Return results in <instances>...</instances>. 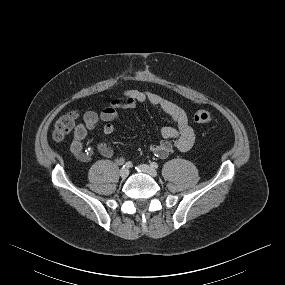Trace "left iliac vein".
I'll list each match as a JSON object with an SVG mask.
<instances>
[{"mask_svg":"<svg viewBox=\"0 0 285 285\" xmlns=\"http://www.w3.org/2000/svg\"><path fill=\"white\" fill-rule=\"evenodd\" d=\"M138 168H139V170L141 172H143L145 174H148V175H150L152 177H156L158 175L157 171L153 167H151L149 165L141 164V165L138 166Z\"/></svg>","mask_w":285,"mask_h":285,"instance_id":"obj_1","label":"left iliac vein"}]
</instances>
